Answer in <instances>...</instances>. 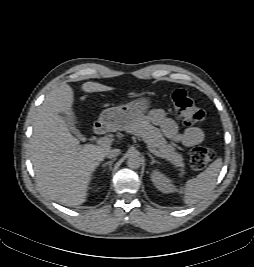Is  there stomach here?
<instances>
[{
	"instance_id": "stomach-1",
	"label": "stomach",
	"mask_w": 254,
	"mask_h": 267,
	"mask_svg": "<svg viewBox=\"0 0 254 267\" xmlns=\"http://www.w3.org/2000/svg\"><path fill=\"white\" fill-rule=\"evenodd\" d=\"M150 106V97L142 94L126 104L103 110L98 122L112 131L127 130L134 123L143 119Z\"/></svg>"
}]
</instances>
